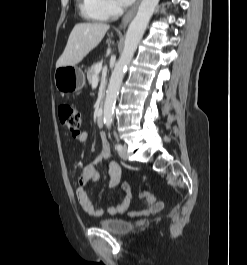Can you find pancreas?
Masks as SVG:
<instances>
[{
  "label": "pancreas",
  "mask_w": 247,
  "mask_h": 265,
  "mask_svg": "<svg viewBox=\"0 0 247 265\" xmlns=\"http://www.w3.org/2000/svg\"><path fill=\"white\" fill-rule=\"evenodd\" d=\"M98 65H100V64L99 63H95L88 69V71H87V79H88L89 83L93 80V76L95 74V68Z\"/></svg>",
  "instance_id": "cf45deb5"
}]
</instances>
